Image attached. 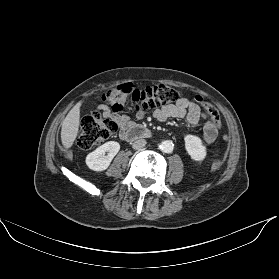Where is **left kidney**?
<instances>
[{
    "instance_id": "1",
    "label": "left kidney",
    "mask_w": 279,
    "mask_h": 279,
    "mask_svg": "<svg viewBox=\"0 0 279 279\" xmlns=\"http://www.w3.org/2000/svg\"><path fill=\"white\" fill-rule=\"evenodd\" d=\"M185 149L190 157L195 161H203L206 157V146L202 140L195 135L188 134L184 137Z\"/></svg>"
}]
</instances>
